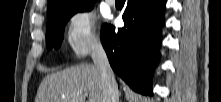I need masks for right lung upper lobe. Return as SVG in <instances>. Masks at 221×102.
Wrapping results in <instances>:
<instances>
[{"mask_svg": "<svg viewBox=\"0 0 221 102\" xmlns=\"http://www.w3.org/2000/svg\"><path fill=\"white\" fill-rule=\"evenodd\" d=\"M91 2H95V0H49L47 19H50L59 11L73 7H80Z\"/></svg>", "mask_w": 221, "mask_h": 102, "instance_id": "1", "label": "right lung upper lobe"}]
</instances>
